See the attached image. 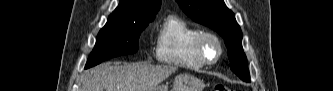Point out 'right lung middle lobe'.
I'll return each mask as SVG.
<instances>
[{
  "mask_svg": "<svg viewBox=\"0 0 333 91\" xmlns=\"http://www.w3.org/2000/svg\"><path fill=\"white\" fill-rule=\"evenodd\" d=\"M153 20L154 18L126 22L107 21L98 33L95 47L85 68L93 67L113 57L137 52L140 34Z\"/></svg>",
  "mask_w": 333,
  "mask_h": 91,
  "instance_id": "1",
  "label": "right lung middle lobe"
}]
</instances>
